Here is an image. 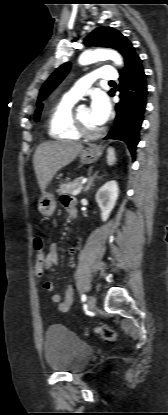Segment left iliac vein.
Listing matches in <instances>:
<instances>
[{
	"instance_id": "obj_1",
	"label": "left iliac vein",
	"mask_w": 168,
	"mask_h": 415,
	"mask_svg": "<svg viewBox=\"0 0 168 415\" xmlns=\"http://www.w3.org/2000/svg\"><path fill=\"white\" fill-rule=\"evenodd\" d=\"M95 305H96V298L93 295L89 296L88 297V306H89V308L92 309V308L95 307Z\"/></svg>"
}]
</instances>
